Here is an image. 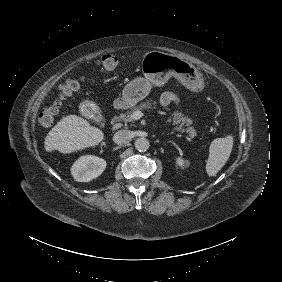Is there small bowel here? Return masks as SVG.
Masks as SVG:
<instances>
[{
	"mask_svg": "<svg viewBox=\"0 0 282 282\" xmlns=\"http://www.w3.org/2000/svg\"><path fill=\"white\" fill-rule=\"evenodd\" d=\"M160 103L163 107H167L170 104H179L180 97L174 92H164L160 97Z\"/></svg>",
	"mask_w": 282,
	"mask_h": 282,
	"instance_id": "small-bowel-1",
	"label": "small bowel"
}]
</instances>
